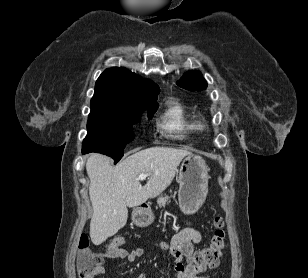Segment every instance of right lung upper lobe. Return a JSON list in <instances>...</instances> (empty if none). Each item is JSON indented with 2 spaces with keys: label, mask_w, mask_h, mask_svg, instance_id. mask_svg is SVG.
Here are the masks:
<instances>
[{
  "label": "right lung upper lobe",
  "mask_w": 308,
  "mask_h": 278,
  "mask_svg": "<svg viewBox=\"0 0 308 278\" xmlns=\"http://www.w3.org/2000/svg\"><path fill=\"white\" fill-rule=\"evenodd\" d=\"M158 86L124 68L106 69L95 84L88 118L130 117L157 102Z\"/></svg>",
  "instance_id": "obj_1"
}]
</instances>
